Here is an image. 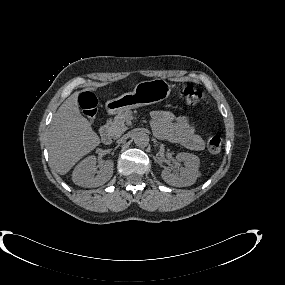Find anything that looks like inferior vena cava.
<instances>
[{"label": "inferior vena cava", "mask_w": 285, "mask_h": 285, "mask_svg": "<svg viewBox=\"0 0 285 285\" xmlns=\"http://www.w3.org/2000/svg\"><path fill=\"white\" fill-rule=\"evenodd\" d=\"M118 143L126 144L128 142V137L125 134L120 135L119 139L117 140Z\"/></svg>", "instance_id": "obj_1"}]
</instances>
